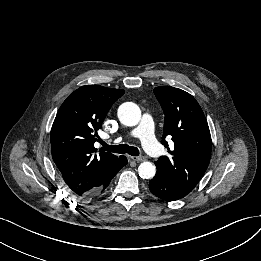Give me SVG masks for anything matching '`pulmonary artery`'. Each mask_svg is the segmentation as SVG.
<instances>
[{
	"mask_svg": "<svg viewBox=\"0 0 261 261\" xmlns=\"http://www.w3.org/2000/svg\"><path fill=\"white\" fill-rule=\"evenodd\" d=\"M131 135L142 140L144 150L152 157L161 155V148L154 135L153 117L145 112L139 125L131 130Z\"/></svg>",
	"mask_w": 261,
	"mask_h": 261,
	"instance_id": "pulmonary-artery-1",
	"label": "pulmonary artery"
}]
</instances>
